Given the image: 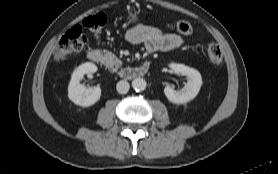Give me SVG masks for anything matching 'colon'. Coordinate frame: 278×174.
I'll list each match as a JSON object with an SVG mask.
<instances>
[{
  "mask_svg": "<svg viewBox=\"0 0 278 174\" xmlns=\"http://www.w3.org/2000/svg\"><path fill=\"white\" fill-rule=\"evenodd\" d=\"M106 24V16L102 13L86 17L81 25H75L69 29L58 41L54 50V59L56 62H64L71 55L83 50L87 43V37L84 29L90 31H99ZM177 30L185 35H191L193 28L187 21L177 23ZM206 58L213 65L221 64L223 53L220 46L216 43H210L206 48Z\"/></svg>",
  "mask_w": 278,
  "mask_h": 174,
  "instance_id": "5ec220e1",
  "label": "colon"
}]
</instances>
